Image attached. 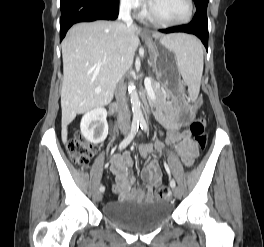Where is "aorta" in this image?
I'll list each match as a JSON object with an SVG mask.
<instances>
[{"instance_id":"1","label":"aorta","mask_w":264,"mask_h":247,"mask_svg":"<svg viewBox=\"0 0 264 247\" xmlns=\"http://www.w3.org/2000/svg\"><path fill=\"white\" fill-rule=\"evenodd\" d=\"M128 92L130 94V100L132 104V111H133V120L134 121H141L143 120V114L141 110V103L140 99L133 81L128 83Z\"/></svg>"}]
</instances>
